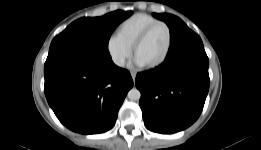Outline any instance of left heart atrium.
Masks as SVG:
<instances>
[{"instance_id":"39dd6f15","label":"left heart atrium","mask_w":261,"mask_h":150,"mask_svg":"<svg viewBox=\"0 0 261 150\" xmlns=\"http://www.w3.org/2000/svg\"><path fill=\"white\" fill-rule=\"evenodd\" d=\"M133 65L136 66V67H144L145 66V64L137 57L134 58Z\"/></svg>"}]
</instances>
